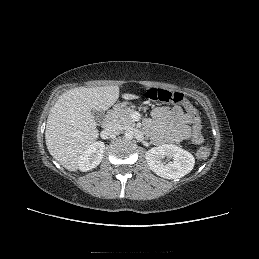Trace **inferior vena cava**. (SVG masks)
I'll return each mask as SVG.
<instances>
[{
	"mask_svg": "<svg viewBox=\"0 0 259 259\" xmlns=\"http://www.w3.org/2000/svg\"><path fill=\"white\" fill-rule=\"evenodd\" d=\"M122 132V126L116 122L109 123L104 128V133L108 136H116Z\"/></svg>",
	"mask_w": 259,
	"mask_h": 259,
	"instance_id": "1",
	"label": "inferior vena cava"
}]
</instances>
